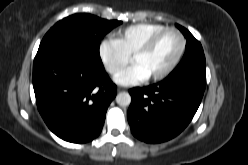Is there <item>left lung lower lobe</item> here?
<instances>
[{
    "label": "left lung lower lobe",
    "instance_id": "0a47b994",
    "mask_svg": "<svg viewBox=\"0 0 248 165\" xmlns=\"http://www.w3.org/2000/svg\"><path fill=\"white\" fill-rule=\"evenodd\" d=\"M205 87L206 65H199L159 83L130 89L127 118L132 134L147 143L174 138L192 120Z\"/></svg>",
    "mask_w": 248,
    "mask_h": 165
}]
</instances>
